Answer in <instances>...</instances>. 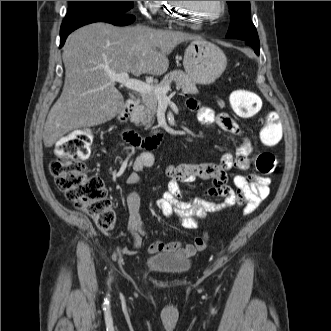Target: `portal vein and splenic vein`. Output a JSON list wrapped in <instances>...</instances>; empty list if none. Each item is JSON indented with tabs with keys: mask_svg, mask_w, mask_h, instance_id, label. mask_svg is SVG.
<instances>
[{
	"mask_svg": "<svg viewBox=\"0 0 331 331\" xmlns=\"http://www.w3.org/2000/svg\"><path fill=\"white\" fill-rule=\"evenodd\" d=\"M109 77L113 82H118L127 89L134 90L142 94L153 91L158 99L165 98L167 92L170 90V85L165 87H154L149 83L130 78L126 72L120 74H110Z\"/></svg>",
	"mask_w": 331,
	"mask_h": 331,
	"instance_id": "portal-vein-and-splenic-vein-1",
	"label": "portal vein and splenic vein"
}]
</instances>
